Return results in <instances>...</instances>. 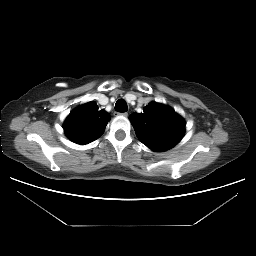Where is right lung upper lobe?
Wrapping results in <instances>:
<instances>
[{
  "label": "right lung upper lobe",
  "instance_id": "1",
  "mask_svg": "<svg viewBox=\"0 0 256 256\" xmlns=\"http://www.w3.org/2000/svg\"><path fill=\"white\" fill-rule=\"evenodd\" d=\"M110 119L104 111H98L94 102L74 109L64 122V131L69 139L78 144H88L99 138Z\"/></svg>",
  "mask_w": 256,
  "mask_h": 256
}]
</instances>
